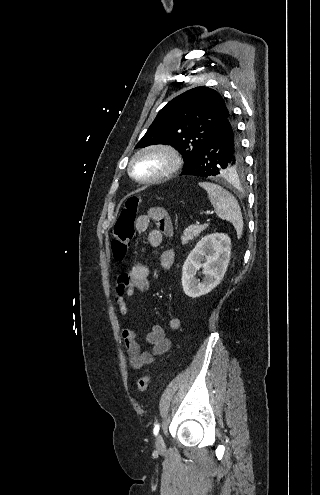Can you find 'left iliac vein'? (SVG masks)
<instances>
[{"label":"left iliac vein","instance_id":"1","mask_svg":"<svg viewBox=\"0 0 320 495\" xmlns=\"http://www.w3.org/2000/svg\"><path fill=\"white\" fill-rule=\"evenodd\" d=\"M155 445L158 451H163L165 449V443L162 435L159 434L156 436Z\"/></svg>","mask_w":320,"mask_h":495}]
</instances>
